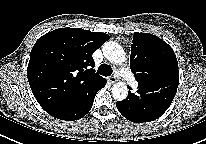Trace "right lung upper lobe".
I'll use <instances>...</instances> for the list:
<instances>
[{
    "instance_id": "obj_1",
    "label": "right lung upper lobe",
    "mask_w": 206,
    "mask_h": 144,
    "mask_svg": "<svg viewBox=\"0 0 206 144\" xmlns=\"http://www.w3.org/2000/svg\"><path fill=\"white\" fill-rule=\"evenodd\" d=\"M109 39L105 33L60 28L34 44L27 68L31 90L50 115L81 100L101 80L92 54Z\"/></svg>"
}]
</instances>
